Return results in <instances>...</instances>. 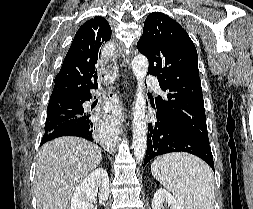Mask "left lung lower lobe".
I'll list each match as a JSON object with an SVG mask.
<instances>
[{"mask_svg": "<svg viewBox=\"0 0 253 209\" xmlns=\"http://www.w3.org/2000/svg\"><path fill=\"white\" fill-rule=\"evenodd\" d=\"M156 117L158 120L148 125V143L143 167L156 156L170 152H188L203 159L215 172L209 142L179 130L157 114Z\"/></svg>", "mask_w": 253, "mask_h": 209, "instance_id": "obj_1", "label": "left lung lower lobe"}]
</instances>
